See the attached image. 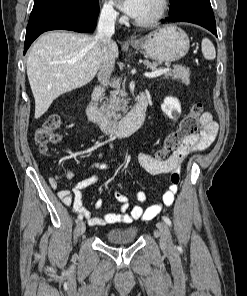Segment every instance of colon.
Here are the masks:
<instances>
[{
	"label": "colon",
	"mask_w": 247,
	"mask_h": 296,
	"mask_svg": "<svg viewBox=\"0 0 247 296\" xmlns=\"http://www.w3.org/2000/svg\"><path fill=\"white\" fill-rule=\"evenodd\" d=\"M202 112V104L195 103L181 120L178 128L165 137L161 148L155 154V159L164 160L168 154L176 151L187 137L192 136L198 129ZM61 126L60 118L53 116L46 120L44 125L37 130L35 139L42 153H45L50 145L57 144L60 141ZM179 180V175L172 176L173 183L178 185Z\"/></svg>",
	"instance_id": "1"
}]
</instances>
